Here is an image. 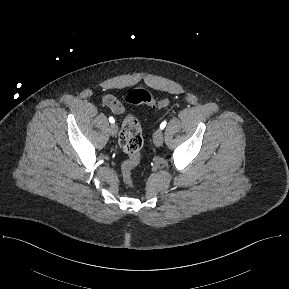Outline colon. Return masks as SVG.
I'll return each mask as SVG.
<instances>
[{
	"label": "colon",
	"mask_w": 289,
	"mask_h": 289,
	"mask_svg": "<svg viewBox=\"0 0 289 289\" xmlns=\"http://www.w3.org/2000/svg\"><path fill=\"white\" fill-rule=\"evenodd\" d=\"M127 101L133 106L146 104L151 107H163L166 104V101L153 97L144 89L131 91L127 96ZM120 145L129 156L122 165V176L130 187H134L135 183L132 178V170L140 161V150L143 145V139L140 133L139 121L133 112L129 113L123 122Z\"/></svg>",
	"instance_id": "1"
}]
</instances>
